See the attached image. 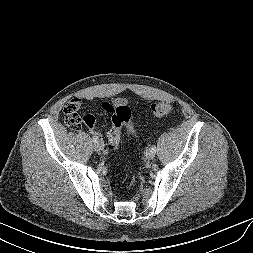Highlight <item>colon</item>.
Wrapping results in <instances>:
<instances>
[{"mask_svg": "<svg viewBox=\"0 0 253 253\" xmlns=\"http://www.w3.org/2000/svg\"><path fill=\"white\" fill-rule=\"evenodd\" d=\"M79 100H71L63 109L65 123L72 129H77L83 124L91 127L95 124V117L91 114H83ZM105 108L108 106L105 104ZM151 112L155 117H164L171 112V106L166 102H157L151 105ZM111 128L108 132L109 151H116L119 147L121 129L125 128L130 135H136L132 112L125 103H120L111 109Z\"/></svg>", "mask_w": 253, "mask_h": 253, "instance_id": "5ec220e1", "label": "colon"}]
</instances>
